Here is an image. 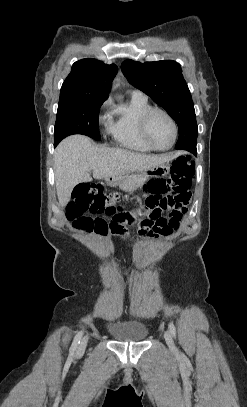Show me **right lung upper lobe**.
<instances>
[{
  "instance_id": "obj_1",
  "label": "right lung upper lobe",
  "mask_w": 247,
  "mask_h": 407,
  "mask_svg": "<svg viewBox=\"0 0 247 407\" xmlns=\"http://www.w3.org/2000/svg\"><path fill=\"white\" fill-rule=\"evenodd\" d=\"M117 71L115 64L107 65L96 59L75 62L63 82L59 101L106 100Z\"/></svg>"
}]
</instances>
